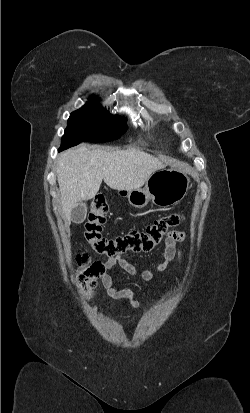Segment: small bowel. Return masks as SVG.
<instances>
[{
    "label": "small bowel",
    "instance_id": "obj_1",
    "mask_svg": "<svg viewBox=\"0 0 250 413\" xmlns=\"http://www.w3.org/2000/svg\"><path fill=\"white\" fill-rule=\"evenodd\" d=\"M185 238V233L182 231H172L167 235L164 243V261L154 265L150 269L139 270L130 263L122 254L109 257L103 264L104 272L101 275V282L105 288L108 297L116 300H127L133 308H140L141 302L134 298V292L130 288H115L111 272L115 267L121 268L124 272L132 277L139 278L144 281H150L154 278L155 272L164 271L168 264L177 259L178 262L182 259V253L178 244Z\"/></svg>",
    "mask_w": 250,
    "mask_h": 413
}]
</instances>
